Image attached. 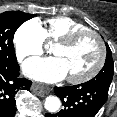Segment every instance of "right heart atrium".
Masks as SVG:
<instances>
[{"instance_id":"d8ad5b80","label":"right heart atrium","mask_w":117,"mask_h":117,"mask_svg":"<svg viewBox=\"0 0 117 117\" xmlns=\"http://www.w3.org/2000/svg\"><path fill=\"white\" fill-rule=\"evenodd\" d=\"M14 45L16 55L23 61L43 53L44 38L42 27L36 20L23 23L15 32Z\"/></svg>"}]
</instances>
